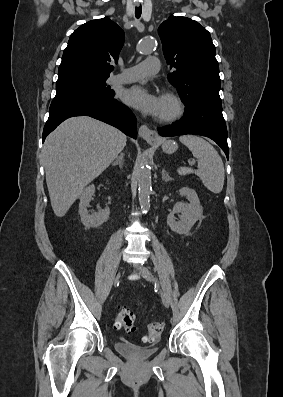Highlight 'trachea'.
I'll return each mask as SVG.
<instances>
[{
	"label": "trachea",
	"mask_w": 283,
	"mask_h": 397,
	"mask_svg": "<svg viewBox=\"0 0 283 397\" xmlns=\"http://www.w3.org/2000/svg\"><path fill=\"white\" fill-rule=\"evenodd\" d=\"M141 13H142V7L141 6L136 7L135 8V16H136V18H140Z\"/></svg>",
	"instance_id": "1"
}]
</instances>
